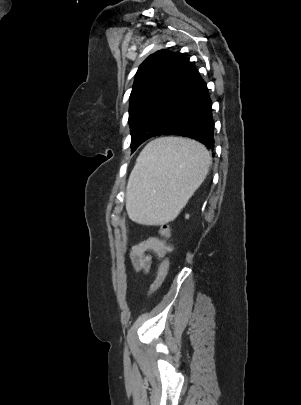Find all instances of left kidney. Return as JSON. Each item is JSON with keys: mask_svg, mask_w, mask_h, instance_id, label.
<instances>
[{"mask_svg": "<svg viewBox=\"0 0 301 405\" xmlns=\"http://www.w3.org/2000/svg\"><path fill=\"white\" fill-rule=\"evenodd\" d=\"M186 218H187V219L189 218V215H188V214L186 215Z\"/></svg>", "mask_w": 301, "mask_h": 405, "instance_id": "left-kidney-1", "label": "left kidney"}]
</instances>
